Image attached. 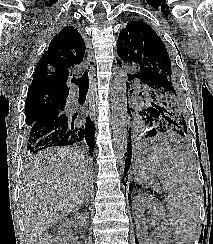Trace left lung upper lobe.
I'll use <instances>...</instances> for the list:
<instances>
[{"label": "left lung upper lobe", "mask_w": 213, "mask_h": 244, "mask_svg": "<svg viewBox=\"0 0 213 244\" xmlns=\"http://www.w3.org/2000/svg\"><path fill=\"white\" fill-rule=\"evenodd\" d=\"M117 52L118 64L126 68L128 80L140 90L144 114L163 124L165 132L186 137L183 92L177 69L160 37L147 23L131 21L119 34Z\"/></svg>", "instance_id": "obj_1"}]
</instances>
